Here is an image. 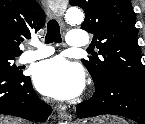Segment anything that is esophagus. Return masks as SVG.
<instances>
[{"label": "esophagus", "mask_w": 145, "mask_h": 124, "mask_svg": "<svg viewBox=\"0 0 145 124\" xmlns=\"http://www.w3.org/2000/svg\"><path fill=\"white\" fill-rule=\"evenodd\" d=\"M51 2L52 1L50 0H44V4L46 5V10L48 12V15H50L51 17H54L59 22L60 26L64 28V23L62 20L64 9L51 7L50 5ZM57 111L61 118L63 119L71 118V116L67 113L65 105H59L57 108Z\"/></svg>", "instance_id": "34e87169"}]
</instances>
